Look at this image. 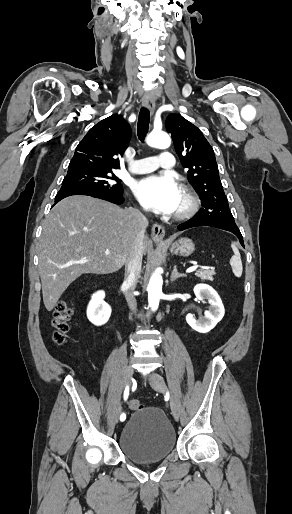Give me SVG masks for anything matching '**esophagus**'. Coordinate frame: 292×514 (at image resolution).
<instances>
[{
	"label": "esophagus",
	"instance_id": "34e87169",
	"mask_svg": "<svg viewBox=\"0 0 292 514\" xmlns=\"http://www.w3.org/2000/svg\"><path fill=\"white\" fill-rule=\"evenodd\" d=\"M142 105L143 107L147 108L151 112V114H153L155 110V100L149 92L144 94L142 98ZM151 237L154 240V242L162 243L165 237L164 227L159 224H153L151 230Z\"/></svg>",
	"mask_w": 292,
	"mask_h": 514
}]
</instances>
